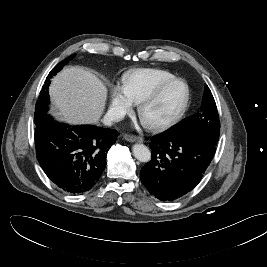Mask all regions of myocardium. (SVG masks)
I'll return each mask as SVG.
<instances>
[{
  "label": "myocardium",
  "mask_w": 267,
  "mask_h": 267,
  "mask_svg": "<svg viewBox=\"0 0 267 267\" xmlns=\"http://www.w3.org/2000/svg\"><path fill=\"white\" fill-rule=\"evenodd\" d=\"M177 85H182L185 88V98L181 104V106L178 108L176 112H174L172 115H170L167 118L156 120V121H148L144 117L145 110L156 103L168 90L171 88L177 86ZM190 99H191V91L188 86V84L180 79L173 80L171 82H168L162 86H160L158 89H156L154 92L151 94L147 95L144 97L139 103L137 107V113L138 116L142 122V124L154 131H160L167 129L173 125H175L177 122L180 121V119L184 116L186 113L188 106L190 104Z\"/></svg>",
  "instance_id": "obj_1"
}]
</instances>
